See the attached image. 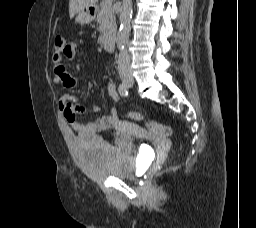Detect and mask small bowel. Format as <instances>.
I'll return each instance as SVG.
<instances>
[{
  "label": "small bowel",
  "mask_w": 256,
  "mask_h": 228,
  "mask_svg": "<svg viewBox=\"0 0 256 228\" xmlns=\"http://www.w3.org/2000/svg\"><path fill=\"white\" fill-rule=\"evenodd\" d=\"M78 45L76 43H70L67 46L66 51L62 55H53V71L55 84H62L67 89H74L77 86V79L69 74L63 64V59L73 60L77 55ZM107 91L110 97L114 101L119 100V96L116 90L114 82L110 81L107 86ZM60 112L64 118L70 123L72 128L80 133H92L102 131L108 128H117L121 125V120L118 116V112L113 108L108 115L100 116L95 121L84 123L78 119V115L86 113L91 110L95 113L99 112V108L96 106L87 107L75 102V98L71 95H64L58 102Z\"/></svg>",
  "instance_id": "obj_1"
}]
</instances>
